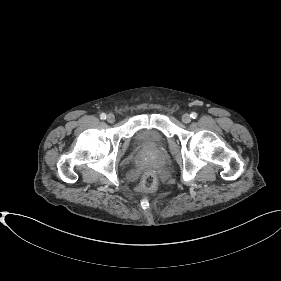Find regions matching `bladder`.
<instances>
[{
  "mask_svg": "<svg viewBox=\"0 0 281 281\" xmlns=\"http://www.w3.org/2000/svg\"><path fill=\"white\" fill-rule=\"evenodd\" d=\"M135 143L145 152L156 153L162 149L164 140L158 132L144 129L136 133Z\"/></svg>",
  "mask_w": 281,
  "mask_h": 281,
  "instance_id": "1",
  "label": "bladder"
}]
</instances>
